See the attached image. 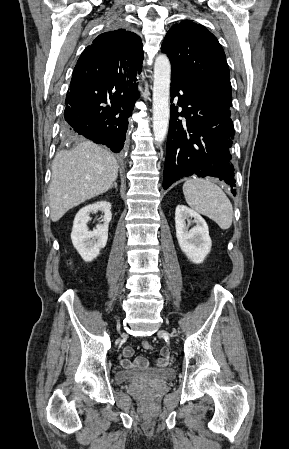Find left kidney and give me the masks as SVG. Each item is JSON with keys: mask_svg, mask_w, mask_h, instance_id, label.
Masks as SVG:
<instances>
[{"mask_svg": "<svg viewBox=\"0 0 289 449\" xmlns=\"http://www.w3.org/2000/svg\"><path fill=\"white\" fill-rule=\"evenodd\" d=\"M189 218H193V221H190ZM186 220L189 222L188 225H186ZM192 222L196 223V226L189 229ZM175 228L182 252L191 262L202 263L212 246L206 221L194 210L184 205H178L175 210Z\"/></svg>", "mask_w": 289, "mask_h": 449, "instance_id": "obj_1", "label": "left kidney"}]
</instances>
